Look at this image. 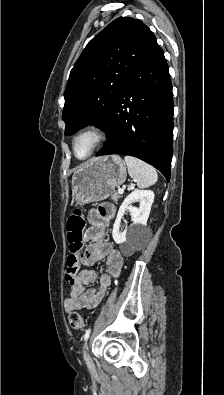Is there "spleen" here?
Returning a JSON list of instances; mask_svg holds the SVG:
<instances>
[{"instance_id":"spleen-1","label":"spleen","mask_w":224,"mask_h":395,"mask_svg":"<svg viewBox=\"0 0 224 395\" xmlns=\"http://www.w3.org/2000/svg\"><path fill=\"white\" fill-rule=\"evenodd\" d=\"M128 173L137 183L139 188H147L157 182L156 170L149 164L132 156H125Z\"/></svg>"}]
</instances>
